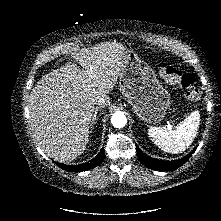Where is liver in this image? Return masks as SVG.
<instances>
[{"instance_id":"obj_1","label":"liver","mask_w":221,"mask_h":221,"mask_svg":"<svg viewBox=\"0 0 221 221\" xmlns=\"http://www.w3.org/2000/svg\"><path fill=\"white\" fill-rule=\"evenodd\" d=\"M124 49L116 41L81 49L73 56L78 65L68 62L37 82L29 96L30 127L48 156L70 162L85 151L95 99L115 87Z\"/></svg>"}]
</instances>
